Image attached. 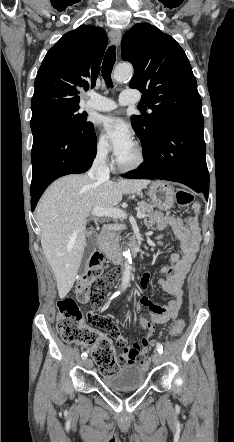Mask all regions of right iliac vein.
Wrapping results in <instances>:
<instances>
[{
	"instance_id": "63e3f726",
	"label": "right iliac vein",
	"mask_w": 234,
	"mask_h": 442,
	"mask_svg": "<svg viewBox=\"0 0 234 442\" xmlns=\"http://www.w3.org/2000/svg\"><path fill=\"white\" fill-rule=\"evenodd\" d=\"M84 366L86 367V368H91L92 367V362H91V360L90 359H85L84 360Z\"/></svg>"
}]
</instances>
